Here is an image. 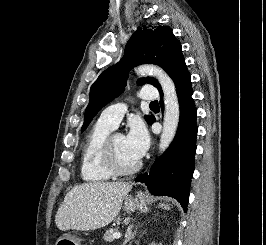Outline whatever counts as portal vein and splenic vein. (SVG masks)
Here are the masks:
<instances>
[{
    "label": "portal vein and splenic vein",
    "instance_id": "obj_1",
    "mask_svg": "<svg viewBox=\"0 0 266 245\" xmlns=\"http://www.w3.org/2000/svg\"><path fill=\"white\" fill-rule=\"evenodd\" d=\"M113 237L114 239H120L121 235L120 233H114Z\"/></svg>",
    "mask_w": 266,
    "mask_h": 245
}]
</instances>
